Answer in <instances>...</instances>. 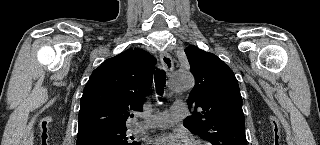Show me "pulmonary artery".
Returning <instances> with one entry per match:
<instances>
[{"mask_svg": "<svg viewBox=\"0 0 320 145\" xmlns=\"http://www.w3.org/2000/svg\"><path fill=\"white\" fill-rule=\"evenodd\" d=\"M187 112L182 102L174 103L168 111L150 116L144 123L138 124L139 129L165 128L181 120Z\"/></svg>", "mask_w": 320, "mask_h": 145, "instance_id": "e3ab8cb5", "label": "pulmonary artery"}]
</instances>
